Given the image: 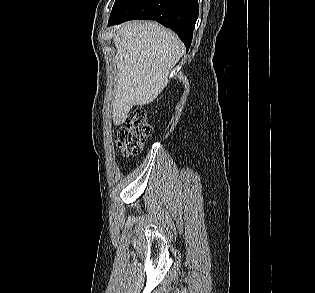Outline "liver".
<instances>
[{"label": "liver", "instance_id": "liver-1", "mask_svg": "<svg viewBox=\"0 0 315 293\" xmlns=\"http://www.w3.org/2000/svg\"><path fill=\"white\" fill-rule=\"evenodd\" d=\"M117 88L113 122L121 125L134 105L151 103L167 86L168 75L184 53V45L155 22L129 21L117 28Z\"/></svg>", "mask_w": 315, "mask_h": 293}]
</instances>
